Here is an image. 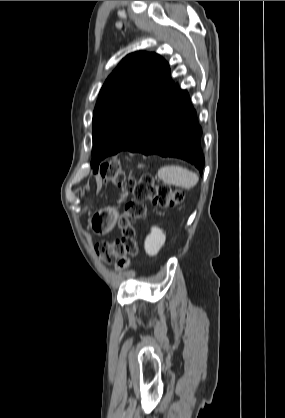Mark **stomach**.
I'll return each instance as SVG.
<instances>
[{
    "label": "stomach",
    "mask_w": 285,
    "mask_h": 418,
    "mask_svg": "<svg viewBox=\"0 0 285 418\" xmlns=\"http://www.w3.org/2000/svg\"><path fill=\"white\" fill-rule=\"evenodd\" d=\"M124 197L125 196H123L120 201H122ZM104 213L105 215H103ZM116 217V208L108 207L106 209L100 210L93 216L91 228L97 234H105L113 228L116 221Z\"/></svg>",
    "instance_id": "stomach-1"
}]
</instances>
